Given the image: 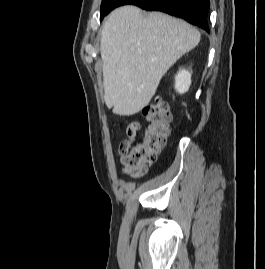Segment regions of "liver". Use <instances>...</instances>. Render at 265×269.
<instances>
[{
    "mask_svg": "<svg viewBox=\"0 0 265 269\" xmlns=\"http://www.w3.org/2000/svg\"><path fill=\"white\" fill-rule=\"evenodd\" d=\"M200 42L187 22L136 6L114 10L101 33L104 99L113 113L130 116L154 96L168 69Z\"/></svg>",
    "mask_w": 265,
    "mask_h": 269,
    "instance_id": "liver-1",
    "label": "liver"
}]
</instances>
